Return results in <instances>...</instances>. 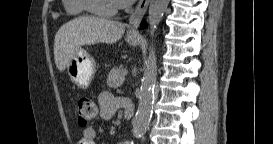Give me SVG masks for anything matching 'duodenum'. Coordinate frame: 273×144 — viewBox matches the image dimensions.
<instances>
[{
    "instance_id": "obj_1",
    "label": "duodenum",
    "mask_w": 273,
    "mask_h": 144,
    "mask_svg": "<svg viewBox=\"0 0 273 144\" xmlns=\"http://www.w3.org/2000/svg\"><path fill=\"white\" fill-rule=\"evenodd\" d=\"M124 109V117L126 120H131L134 117V105L127 99H121Z\"/></svg>"
}]
</instances>
